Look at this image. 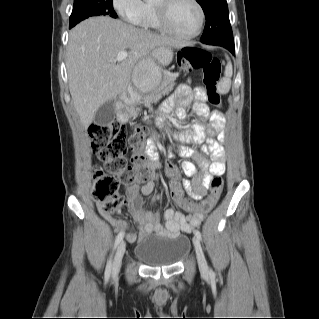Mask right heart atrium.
Here are the masks:
<instances>
[{
  "mask_svg": "<svg viewBox=\"0 0 319 319\" xmlns=\"http://www.w3.org/2000/svg\"><path fill=\"white\" fill-rule=\"evenodd\" d=\"M114 9L129 24L140 25L145 3L142 0H113Z\"/></svg>",
  "mask_w": 319,
  "mask_h": 319,
  "instance_id": "d8ad5b80",
  "label": "right heart atrium"
}]
</instances>
